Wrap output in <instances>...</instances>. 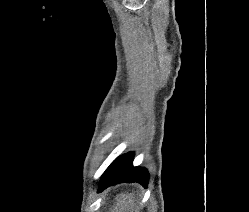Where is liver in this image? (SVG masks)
<instances>
[{"mask_svg": "<svg viewBox=\"0 0 249 212\" xmlns=\"http://www.w3.org/2000/svg\"><path fill=\"white\" fill-rule=\"evenodd\" d=\"M114 212H138V206L134 194H119L115 198Z\"/></svg>", "mask_w": 249, "mask_h": 212, "instance_id": "6515ba94", "label": "liver"}]
</instances>
